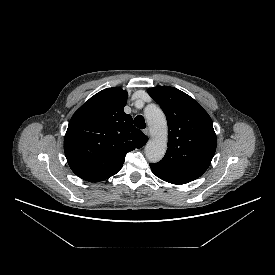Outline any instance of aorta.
Instances as JSON below:
<instances>
[{"label": "aorta", "instance_id": "aorta-1", "mask_svg": "<svg viewBox=\"0 0 275 275\" xmlns=\"http://www.w3.org/2000/svg\"><path fill=\"white\" fill-rule=\"evenodd\" d=\"M151 139L145 146L147 159L156 163L165 155L167 150V121L162 110L156 106H149L145 109Z\"/></svg>", "mask_w": 275, "mask_h": 275}]
</instances>
